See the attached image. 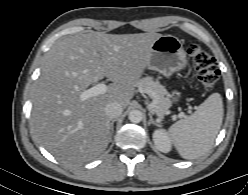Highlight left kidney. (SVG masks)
<instances>
[{
	"label": "left kidney",
	"instance_id": "1",
	"mask_svg": "<svg viewBox=\"0 0 248 195\" xmlns=\"http://www.w3.org/2000/svg\"><path fill=\"white\" fill-rule=\"evenodd\" d=\"M153 141L159 151L163 153H168L171 151V140L165 130H155L153 133Z\"/></svg>",
	"mask_w": 248,
	"mask_h": 195
}]
</instances>
